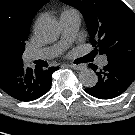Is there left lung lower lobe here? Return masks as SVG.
<instances>
[{"label": "left lung lower lobe", "instance_id": "left-lung-lower-lobe-1", "mask_svg": "<svg viewBox=\"0 0 135 135\" xmlns=\"http://www.w3.org/2000/svg\"><path fill=\"white\" fill-rule=\"evenodd\" d=\"M89 66L96 71L98 82L85 91L99 99H112L121 95L135 80V70L114 62H108L102 69L94 64Z\"/></svg>", "mask_w": 135, "mask_h": 135}]
</instances>
